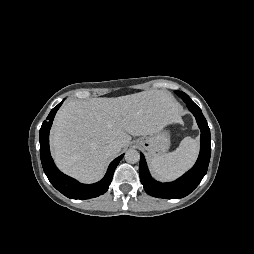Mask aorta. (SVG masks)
Instances as JSON below:
<instances>
[{
	"instance_id": "obj_1",
	"label": "aorta",
	"mask_w": 254,
	"mask_h": 254,
	"mask_svg": "<svg viewBox=\"0 0 254 254\" xmlns=\"http://www.w3.org/2000/svg\"><path fill=\"white\" fill-rule=\"evenodd\" d=\"M125 160L128 163L135 164L140 160V154L137 150L129 149L125 153Z\"/></svg>"
}]
</instances>
